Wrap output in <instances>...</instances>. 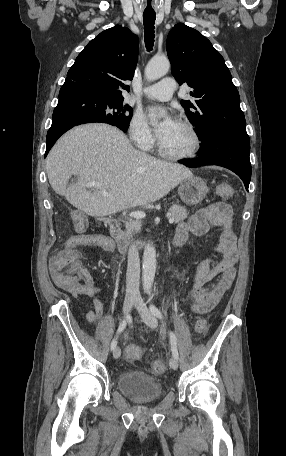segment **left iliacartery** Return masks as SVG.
<instances>
[{
    "label": "left iliac artery",
    "instance_id": "left-iliac-artery-1",
    "mask_svg": "<svg viewBox=\"0 0 286 456\" xmlns=\"http://www.w3.org/2000/svg\"><path fill=\"white\" fill-rule=\"evenodd\" d=\"M149 296V302H150V311L153 313L154 316H156L159 319L163 318V315L161 311L152 303V296L151 293L148 292ZM170 343H171V350L172 354L176 359H179V354H178V349H177V339L176 336L173 332H170Z\"/></svg>",
    "mask_w": 286,
    "mask_h": 456
}]
</instances>
